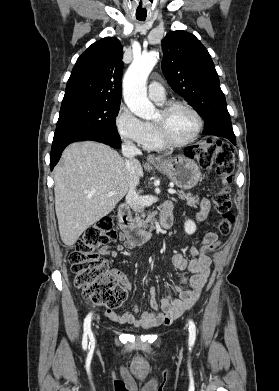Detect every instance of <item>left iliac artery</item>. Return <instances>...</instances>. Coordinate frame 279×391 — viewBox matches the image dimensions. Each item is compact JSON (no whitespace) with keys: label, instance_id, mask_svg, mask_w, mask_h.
Listing matches in <instances>:
<instances>
[{"label":"left iliac artery","instance_id":"1","mask_svg":"<svg viewBox=\"0 0 279 391\" xmlns=\"http://www.w3.org/2000/svg\"><path fill=\"white\" fill-rule=\"evenodd\" d=\"M196 339V327L192 320H189V346L192 347Z\"/></svg>","mask_w":279,"mask_h":391}]
</instances>
